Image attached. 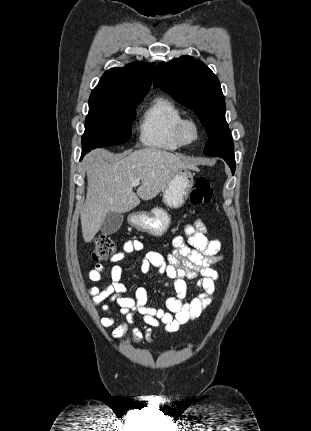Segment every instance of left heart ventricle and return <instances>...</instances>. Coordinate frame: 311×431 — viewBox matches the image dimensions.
Here are the masks:
<instances>
[{
  "label": "left heart ventricle",
  "instance_id": "1",
  "mask_svg": "<svg viewBox=\"0 0 311 431\" xmlns=\"http://www.w3.org/2000/svg\"><path fill=\"white\" fill-rule=\"evenodd\" d=\"M185 133L188 139L194 140L198 134L197 127L194 122H188L185 126Z\"/></svg>",
  "mask_w": 311,
  "mask_h": 431
}]
</instances>
